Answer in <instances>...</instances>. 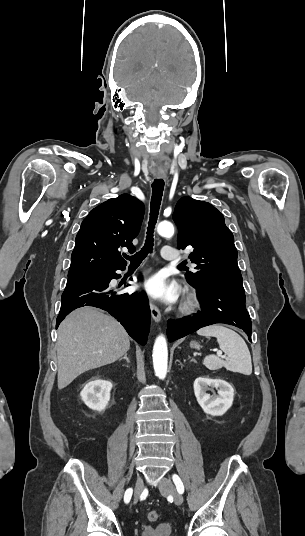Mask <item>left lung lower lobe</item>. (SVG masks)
<instances>
[{"label": "left lung lower lobe", "mask_w": 305, "mask_h": 536, "mask_svg": "<svg viewBox=\"0 0 305 536\" xmlns=\"http://www.w3.org/2000/svg\"><path fill=\"white\" fill-rule=\"evenodd\" d=\"M198 292L202 306L199 313L181 320L168 321L167 336L170 342L216 323L243 329L251 341L252 324L245 307L243 287L209 286L198 288Z\"/></svg>", "instance_id": "0a47b994"}]
</instances>
